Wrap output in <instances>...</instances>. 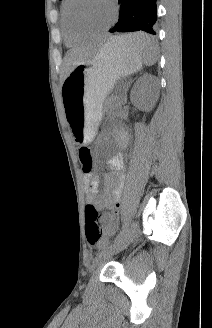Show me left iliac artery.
I'll list each match as a JSON object with an SVG mask.
<instances>
[{
  "label": "left iliac artery",
  "mask_w": 212,
  "mask_h": 328,
  "mask_svg": "<svg viewBox=\"0 0 212 328\" xmlns=\"http://www.w3.org/2000/svg\"><path fill=\"white\" fill-rule=\"evenodd\" d=\"M128 226H129V221L125 222V224L123 225L121 231L118 233V235L114 239V242L121 239L125 235V233L127 232Z\"/></svg>",
  "instance_id": "obj_1"
}]
</instances>
